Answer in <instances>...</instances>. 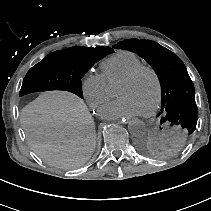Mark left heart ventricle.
I'll use <instances>...</instances> for the list:
<instances>
[{"instance_id": "obj_1", "label": "left heart ventricle", "mask_w": 211, "mask_h": 211, "mask_svg": "<svg viewBox=\"0 0 211 211\" xmlns=\"http://www.w3.org/2000/svg\"><path fill=\"white\" fill-rule=\"evenodd\" d=\"M117 95L130 98L141 112H145L155 101L156 83L150 73L142 72L132 81L119 82Z\"/></svg>"}]
</instances>
